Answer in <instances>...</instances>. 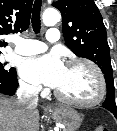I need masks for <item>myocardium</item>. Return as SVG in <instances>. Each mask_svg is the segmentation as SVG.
<instances>
[{
	"label": "myocardium",
	"mask_w": 117,
	"mask_h": 131,
	"mask_svg": "<svg viewBox=\"0 0 117 131\" xmlns=\"http://www.w3.org/2000/svg\"><path fill=\"white\" fill-rule=\"evenodd\" d=\"M75 65L85 66L93 72V74L96 77L97 83H98L97 95L92 100L79 101V100L71 99V98L64 96L56 89L54 91L55 97L63 103H66L72 106H76V107H80V108H92V107L99 105L103 101L105 94H106V82H105V79H104V76L101 70L99 69V67L96 64H94L93 62L89 60H85V59H71L67 61L66 63V66H75Z\"/></svg>",
	"instance_id": "1"
}]
</instances>
